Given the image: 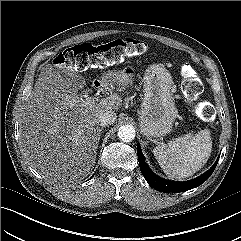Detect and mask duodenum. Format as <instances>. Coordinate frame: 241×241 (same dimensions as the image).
Listing matches in <instances>:
<instances>
[{"label":"duodenum","instance_id":"410a0bca","mask_svg":"<svg viewBox=\"0 0 241 241\" xmlns=\"http://www.w3.org/2000/svg\"><path fill=\"white\" fill-rule=\"evenodd\" d=\"M102 85V82L100 80L94 81V86L99 88Z\"/></svg>","mask_w":241,"mask_h":241}]
</instances>
